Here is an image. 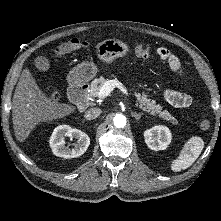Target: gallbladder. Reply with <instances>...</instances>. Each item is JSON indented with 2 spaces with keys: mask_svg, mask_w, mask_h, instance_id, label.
<instances>
[{
  "mask_svg": "<svg viewBox=\"0 0 221 221\" xmlns=\"http://www.w3.org/2000/svg\"><path fill=\"white\" fill-rule=\"evenodd\" d=\"M35 67L40 71H46L49 69V62L43 56H38L34 60Z\"/></svg>",
  "mask_w": 221,
  "mask_h": 221,
  "instance_id": "obj_1",
  "label": "gallbladder"
}]
</instances>
